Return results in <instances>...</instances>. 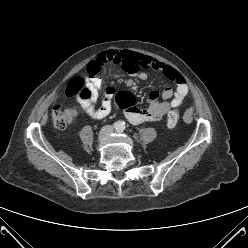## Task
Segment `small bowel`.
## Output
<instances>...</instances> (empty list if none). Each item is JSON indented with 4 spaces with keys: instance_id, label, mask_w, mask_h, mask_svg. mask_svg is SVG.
I'll use <instances>...</instances> for the list:
<instances>
[{
    "instance_id": "obj_1",
    "label": "small bowel",
    "mask_w": 248,
    "mask_h": 248,
    "mask_svg": "<svg viewBox=\"0 0 248 248\" xmlns=\"http://www.w3.org/2000/svg\"><path fill=\"white\" fill-rule=\"evenodd\" d=\"M91 65L94 67L102 65L105 69L109 67L121 69L142 80L148 77V71H153L175 83V89L167 87L160 94L157 91H152L148 97L149 105L147 107L138 108L133 103L126 109V118L134 125L162 119L168 111L178 107L188 94V85L181 73L170 65L149 56L114 50L100 55ZM87 85L91 91V96L81 102L83 110L93 119L105 118L111 111V99L116 89L107 87L106 98L100 106H96L102 79L93 77L87 81Z\"/></svg>"
}]
</instances>
